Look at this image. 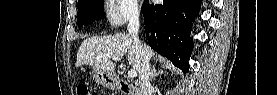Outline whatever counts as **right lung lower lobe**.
Instances as JSON below:
<instances>
[{
  "label": "right lung lower lobe",
  "instance_id": "1",
  "mask_svg": "<svg viewBox=\"0 0 277 95\" xmlns=\"http://www.w3.org/2000/svg\"><path fill=\"white\" fill-rule=\"evenodd\" d=\"M200 4V0H163L162 5H150L145 0L142 5L146 34L152 33L149 45L183 72L189 70L188 59L193 49L189 34Z\"/></svg>",
  "mask_w": 277,
  "mask_h": 95
}]
</instances>
